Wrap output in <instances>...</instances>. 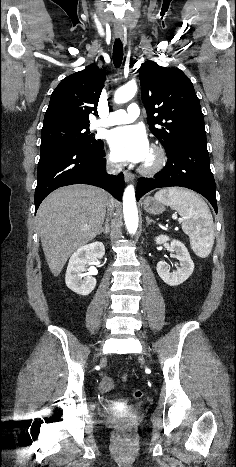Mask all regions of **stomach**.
Segmentation results:
<instances>
[{"label":"stomach","mask_w":236,"mask_h":467,"mask_svg":"<svg viewBox=\"0 0 236 467\" xmlns=\"http://www.w3.org/2000/svg\"><path fill=\"white\" fill-rule=\"evenodd\" d=\"M143 205L145 211L153 215L161 214L165 210L164 204L153 197H147Z\"/></svg>","instance_id":"1"}]
</instances>
